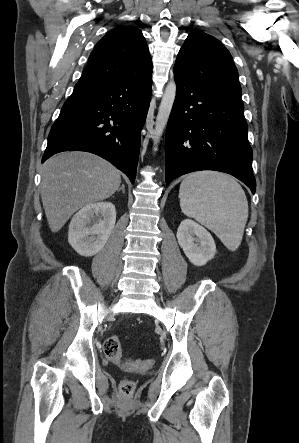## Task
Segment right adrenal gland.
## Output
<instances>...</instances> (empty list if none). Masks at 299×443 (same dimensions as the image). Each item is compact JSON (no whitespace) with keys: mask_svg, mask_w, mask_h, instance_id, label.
I'll return each instance as SVG.
<instances>
[{"mask_svg":"<svg viewBox=\"0 0 299 443\" xmlns=\"http://www.w3.org/2000/svg\"><path fill=\"white\" fill-rule=\"evenodd\" d=\"M120 190H122L123 194L125 193V187H124V184H122L121 188L118 189V192H119Z\"/></svg>","mask_w":299,"mask_h":443,"instance_id":"obj_1","label":"right adrenal gland"}]
</instances>
